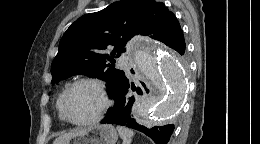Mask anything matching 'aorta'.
<instances>
[{
	"mask_svg": "<svg viewBox=\"0 0 260 144\" xmlns=\"http://www.w3.org/2000/svg\"><path fill=\"white\" fill-rule=\"evenodd\" d=\"M138 70L155 88L137 107L143 125L159 123L180 107L185 92V75L178 56L161 44L135 40L131 44Z\"/></svg>",
	"mask_w": 260,
	"mask_h": 144,
	"instance_id": "1",
	"label": "aorta"
}]
</instances>
